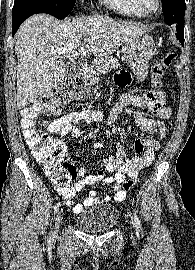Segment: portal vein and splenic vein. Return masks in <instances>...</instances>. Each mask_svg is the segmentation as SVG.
Returning <instances> with one entry per match:
<instances>
[{"label": "portal vein and splenic vein", "mask_w": 195, "mask_h": 270, "mask_svg": "<svg viewBox=\"0 0 195 270\" xmlns=\"http://www.w3.org/2000/svg\"><path fill=\"white\" fill-rule=\"evenodd\" d=\"M77 43H78V45L81 44L80 41H77ZM64 52H67V53H68V52L74 53L75 55H78L79 53H80L81 55H83V56L86 55V51H84V50H81L79 53H78L77 51H74V50H65Z\"/></svg>", "instance_id": "18ae733b"}]
</instances>
